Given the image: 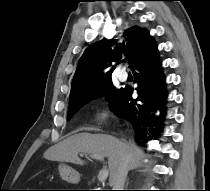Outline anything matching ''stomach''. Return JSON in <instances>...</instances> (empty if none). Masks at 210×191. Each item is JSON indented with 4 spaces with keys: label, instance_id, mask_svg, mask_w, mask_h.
Returning <instances> with one entry per match:
<instances>
[{
    "label": "stomach",
    "instance_id": "1",
    "mask_svg": "<svg viewBox=\"0 0 210 191\" xmlns=\"http://www.w3.org/2000/svg\"><path fill=\"white\" fill-rule=\"evenodd\" d=\"M58 170L63 180L74 184L80 181V174L70 166L66 164H60Z\"/></svg>",
    "mask_w": 210,
    "mask_h": 191
}]
</instances>
